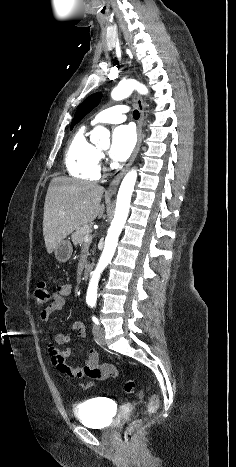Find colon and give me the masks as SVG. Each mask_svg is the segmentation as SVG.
I'll return each mask as SVG.
<instances>
[{"label": "colon", "mask_w": 236, "mask_h": 467, "mask_svg": "<svg viewBox=\"0 0 236 467\" xmlns=\"http://www.w3.org/2000/svg\"><path fill=\"white\" fill-rule=\"evenodd\" d=\"M35 299L36 302L39 306H44L46 305L51 297L50 290L45 282H40L36 285L35 288ZM105 374V372L103 373ZM136 384L133 380H129L126 382L124 386V391L127 394L132 393L135 390ZM158 406V397L156 395H153L150 398L149 404H148V411L149 412H154ZM142 422L141 420H135L128 424L126 427L124 433H123V441L126 444H129L133 440V436L135 432L141 427Z\"/></svg>", "instance_id": "5ec220e1"}]
</instances>
